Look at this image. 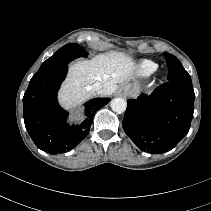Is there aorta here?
<instances>
[{
	"label": "aorta",
	"instance_id": "aorta-1",
	"mask_svg": "<svg viewBox=\"0 0 211 211\" xmlns=\"http://www.w3.org/2000/svg\"><path fill=\"white\" fill-rule=\"evenodd\" d=\"M111 109L116 113H122L126 110L127 103L123 98H114L110 102Z\"/></svg>",
	"mask_w": 211,
	"mask_h": 211
}]
</instances>
